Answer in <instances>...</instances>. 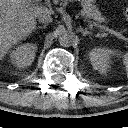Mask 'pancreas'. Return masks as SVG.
I'll return each mask as SVG.
<instances>
[{"mask_svg":"<svg viewBox=\"0 0 128 128\" xmlns=\"http://www.w3.org/2000/svg\"><path fill=\"white\" fill-rule=\"evenodd\" d=\"M69 1H78L81 6V15L84 16L87 19H93L97 22H104L106 18L102 16L101 12L98 10V8L92 3L93 0H69ZM111 33H116L112 30L107 29ZM120 34V33H119Z\"/></svg>","mask_w":128,"mask_h":128,"instance_id":"pancreas-1","label":"pancreas"}]
</instances>
